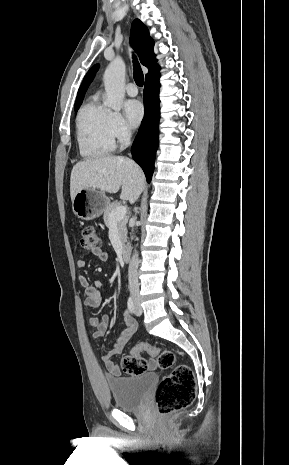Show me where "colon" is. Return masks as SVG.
<instances>
[{"label": "colon", "instance_id": "5ec220e1", "mask_svg": "<svg viewBox=\"0 0 289 465\" xmlns=\"http://www.w3.org/2000/svg\"><path fill=\"white\" fill-rule=\"evenodd\" d=\"M80 245L83 249L99 248L100 237L93 226H84L81 230ZM142 352L157 354L162 369L173 368L159 383L155 394V405L161 415L189 406L195 397L196 380L193 371L186 364L175 365L173 352L159 351L156 347L140 343L122 361L123 370L130 375H140L146 370V361Z\"/></svg>", "mask_w": 289, "mask_h": 465}]
</instances>
